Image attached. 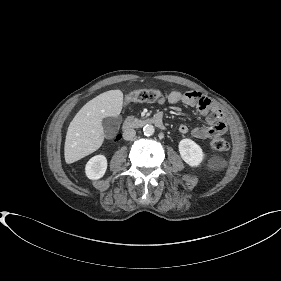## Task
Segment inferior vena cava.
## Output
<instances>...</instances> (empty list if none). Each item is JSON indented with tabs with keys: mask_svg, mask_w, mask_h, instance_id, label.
<instances>
[{
	"mask_svg": "<svg viewBox=\"0 0 281 281\" xmlns=\"http://www.w3.org/2000/svg\"><path fill=\"white\" fill-rule=\"evenodd\" d=\"M135 135H136V131L134 129H126L123 132V138L125 140H131L134 138Z\"/></svg>",
	"mask_w": 281,
	"mask_h": 281,
	"instance_id": "602c4592",
	"label": "inferior vena cava"
}]
</instances>
